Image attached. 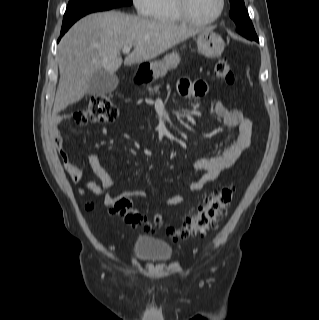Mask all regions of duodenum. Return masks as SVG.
<instances>
[{
	"mask_svg": "<svg viewBox=\"0 0 319 320\" xmlns=\"http://www.w3.org/2000/svg\"><path fill=\"white\" fill-rule=\"evenodd\" d=\"M142 71H144V68L142 69ZM148 79V74L144 75L142 73H138L137 75V80L140 82H145Z\"/></svg>",
	"mask_w": 319,
	"mask_h": 320,
	"instance_id": "obj_1",
	"label": "duodenum"
}]
</instances>
